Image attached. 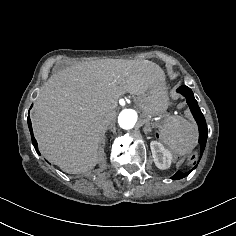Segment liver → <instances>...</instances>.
<instances>
[{"mask_svg": "<svg viewBox=\"0 0 236 236\" xmlns=\"http://www.w3.org/2000/svg\"><path fill=\"white\" fill-rule=\"evenodd\" d=\"M165 73L149 60L102 59L53 74L32 117L39 150L66 173L85 172L104 159L101 136L125 93L144 95Z\"/></svg>", "mask_w": 236, "mask_h": 236, "instance_id": "6515ba94", "label": "liver"}]
</instances>
